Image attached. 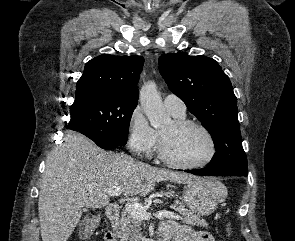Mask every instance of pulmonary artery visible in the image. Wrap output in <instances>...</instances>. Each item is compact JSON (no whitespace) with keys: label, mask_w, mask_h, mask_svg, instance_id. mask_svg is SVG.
Wrapping results in <instances>:
<instances>
[{"label":"pulmonary artery","mask_w":295,"mask_h":241,"mask_svg":"<svg viewBox=\"0 0 295 241\" xmlns=\"http://www.w3.org/2000/svg\"><path fill=\"white\" fill-rule=\"evenodd\" d=\"M165 108L174 115H185L186 106L181 98L174 94H169L164 98Z\"/></svg>","instance_id":"obj_1"}]
</instances>
